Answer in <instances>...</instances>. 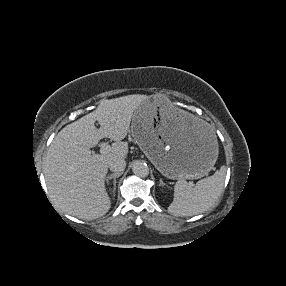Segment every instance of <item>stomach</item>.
Listing matches in <instances>:
<instances>
[{"label": "stomach", "instance_id": "stomach-1", "mask_svg": "<svg viewBox=\"0 0 286 286\" xmlns=\"http://www.w3.org/2000/svg\"><path fill=\"white\" fill-rule=\"evenodd\" d=\"M131 133L157 170L170 179H199L218 157L215 128L159 94L140 100Z\"/></svg>", "mask_w": 286, "mask_h": 286}]
</instances>
